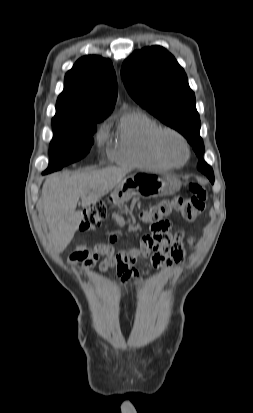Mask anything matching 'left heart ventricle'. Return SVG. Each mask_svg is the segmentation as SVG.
Listing matches in <instances>:
<instances>
[{
  "mask_svg": "<svg viewBox=\"0 0 253 413\" xmlns=\"http://www.w3.org/2000/svg\"><path fill=\"white\" fill-rule=\"evenodd\" d=\"M166 147L170 156L176 162H182L185 159L186 153L182 143L175 137H168L166 140Z\"/></svg>",
  "mask_w": 253,
  "mask_h": 413,
  "instance_id": "b2bd125f",
  "label": "left heart ventricle"
}]
</instances>
